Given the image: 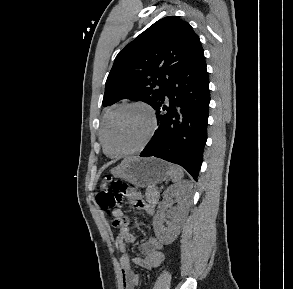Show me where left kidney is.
Segmentation results:
<instances>
[{
	"instance_id": "1",
	"label": "left kidney",
	"mask_w": 293,
	"mask_h": 289,
	"mask_svg": "<svg viewBox=\"0 0 293 289\" xmlns=\"http://www.w3.org/2000/svg\"><path fill=\"white\" fill-rule=\"evenodd\" d=\"M189 190L190 182L183 181L170 186L164 192L162 206H169L175 198L178 201V207L175 209V213L171 221L167 223V226L163 225L165 216L161 211L153 218L154 232L162 243L171 244L179 235L186 215L187 194Z\"/></svg>"
}]
</instances>
